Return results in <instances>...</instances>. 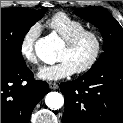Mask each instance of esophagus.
I'll list each match as a JSON object with an SVG mask.
<instances>
[{"label": "esophagus", "instance_id": "esophagus-1", "mask_svg": "<svg viewBox=\"0 0 123 123\" xmlns=\"http://www.w3.org/2000/svg\"><path fill=\"white\" fill-rule=\"evenodd\" d=\"M49 88L52 89V90H55L58 88V84L55 83V82H50L49 83Z\"/></svg>", "mask_w": 123, "mask_h": 123}]
</instances>
